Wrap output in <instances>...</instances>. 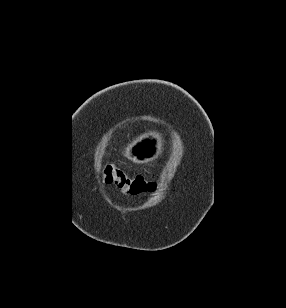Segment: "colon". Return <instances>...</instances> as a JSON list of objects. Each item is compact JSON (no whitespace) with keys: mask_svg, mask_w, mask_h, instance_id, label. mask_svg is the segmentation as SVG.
I'll return each instance as SVG.
<instances>
[{"mask_svg":"<svg viewBox=\"0 0 286 308\" xmlns=\"http://www.w3.org/2000/svg\"><path fill=\"white\" fill-rule=\"evenodd\" d=\"M105 183L114 185L120 191L132 196L142 195L155 189V184L142 177H130L122 169L107 165L102 172Z\"/></svg>","mask_w":286,"mask_h":308,"instance_id":"1","label":"colon"}]
</instances>
